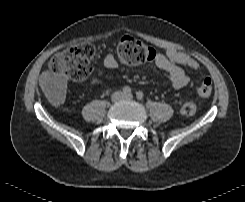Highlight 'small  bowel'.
<instances>
[{
  "label": "small bowel",
  "mask_w": 245,
  "mask_h": 202,
  "mask_svg": "<svg viewBox=\"0 0 245 202\" xmlns=\"http://www.w3.org/2000/svg\"><path fill=\"white\" fill-rule=\"evenodd\" d=\"M178 54L179 52L176 49L170 48L164 54L156 53L155 58L152 60L157 68L163 70L167 74L174 89H181L189 82L188 76L178 65ZM103 65L106 69H116L118 67L116 55L112 52L107 53L103 59ZM42 85L44 89L60 90L64 85V80L45 70L42 73Z\"/></svg>",
  "instance_id": "obj_1"
}]
</instances>
